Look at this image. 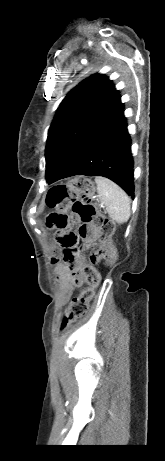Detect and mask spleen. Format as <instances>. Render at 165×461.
<instances>
[{"mask_svg": "<svg viewBox=\"0 0 165 461\" xmlns=\"http://www.w3.org/2000/svg\"><path fill=\"white\" fill-rule=\"evenodd\" d=\"M100 202L106 207L109 217L123 224L128 221L131 215L130 198L117 184L111 180L97 176L95 177Z\"/></svg>", "mask_w": 165, "mask_h": 461, "instance_id": "obj_1", "label": "spleen"}]
</instances>
